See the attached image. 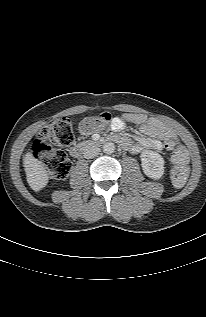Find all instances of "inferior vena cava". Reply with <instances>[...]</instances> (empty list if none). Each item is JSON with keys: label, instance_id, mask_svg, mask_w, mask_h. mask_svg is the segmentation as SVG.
Returning <instances> with one entry per match:
<instances>
[{"label": "inferior vena cava", "instance_id": "602c4592", "mask_svg": "<svg viewBox=\"0 0 206 317\" xmlns=\"http://www.w3.org/2000/svg\"><path fill=\"white\" fill-rule=\"evenodd\" d=\"M100 153V148L95 145H87L83 150V156L86 159L93 158Z\"/></svg>", "mask_w": 206, "mask_h": 317}]
</instances>
